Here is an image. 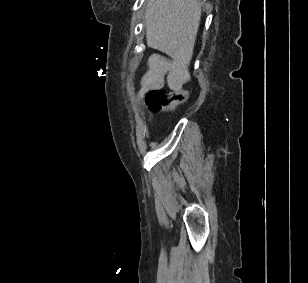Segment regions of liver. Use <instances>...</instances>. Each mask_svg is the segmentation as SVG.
Wrapping results in <instances>:
<instances>
[{"mask_svg": "<svg viewBox=\"0 0 308 283\" xmlns=\"http://www.w3.org/2000/svg\"><path fill=\"white\" fill-rule=\"evenodd\" d=\"M200 19L198 0H147L144 20L147 45L187 65L192 58Z\"/></svg>", "mask_w": 308, "mask_h": 283, "instance_id": "obj_1", "label": "liver"}]
</instances>
